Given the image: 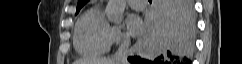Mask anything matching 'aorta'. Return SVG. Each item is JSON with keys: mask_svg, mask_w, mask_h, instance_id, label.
I'll return each mask as SVG.
<instances>
[{"mask_svg": "<svg viewBox=\"0 0 242 64\" xmlns=\"http://www.w3.org/2000/svg\"><path fill=\"white\" fill-rule=\"evenodd\" d=\"M126 7V0H108L106 17L113 23H121Z\"/></svg>", "mask_w": 242, "mask_h": 64, "instance_id": "762f6f07", "label": "aorta"}]
</instances>
